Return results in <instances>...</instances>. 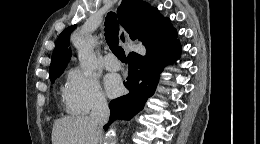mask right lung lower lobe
<instances>
[{
  "label": "right lung lower lobe",
  "mask_w": 260,
  "mask_h": 144,
  "mask_svg": "<svg viewBox=\"0 0 260 144\" xmlns=\"http://www.w3.org/2000/svg\"><path fill=\"white\" fill-rule=\"evenodd\" d=\"M180 52L181 45L175 35L168 41L146 49L145 56L129 53V76L124 85L130 92L110 102V118L104 126L105 130L114 120H129L144 108L147 99L155 92L163 68L178 59Z\"/></svg>",
  "instance_id": "obj_1"
}]
</instances>
